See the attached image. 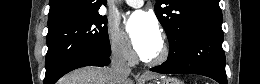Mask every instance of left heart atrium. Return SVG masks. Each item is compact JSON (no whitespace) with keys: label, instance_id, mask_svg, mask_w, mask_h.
Returning <instances> with one entry per match:
<instances>
[{"label":"left heart atrium","instance_id":"1","mask_svg":"<svg viewBox=\"0 0 260 84\" xmlns=\"http://www.w3.org/2000/svg\"><path fill=\"white\" fill-rule=\"evenodd\" d=\"M126 34L139 56L152 57L161 45L157 21L149 13L136 11L125 22Z\"/></svg>","mask_w":260,"mask_h":84}]
</instances>
